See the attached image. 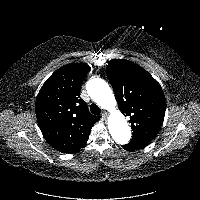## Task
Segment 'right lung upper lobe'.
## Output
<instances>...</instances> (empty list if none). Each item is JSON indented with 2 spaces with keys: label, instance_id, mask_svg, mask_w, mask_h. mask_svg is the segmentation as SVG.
I'll use <instances>...</instances> for the list:
<instances>
[{
  "label": "right lung upper lobe",
  "instance_id": "right-lung-upper-lobe-1",
  "mask_svg": "<svg viewBox=\"0 0 200 200\" xmlns=\"http://www.w3.org/2000/svg\"><path fill=\"white\" fill-rule=\"evenodd\" d=\"M89 66L67 64L54 72L41 87L35 110L46 141L56 150L71 154L88 141L92 126L100 119L90 114L80 98Z\"/></svg>",
  "mask_w": 200,
  "mask_h": 200
}]
</instances>
